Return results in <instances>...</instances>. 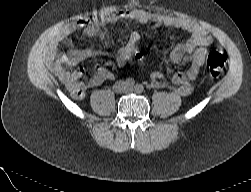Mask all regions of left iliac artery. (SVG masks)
I'll list each match as a JSON object with an SVG mask.
<instances>
[{"mask_svg": "<svg viewBox=\"0 0 251 192\" xmlns=\"http://www.w3.org/2000/svg\"><path fill=\"white\" fill-rule=\"evenodd\" d=\"M143 89H144L143 85H141V84H136L135 90H136L137 92H142Z\"/></svg>", "mask_w": 251, "mask_h": 192, "instance_id": "1", "label": "left iliac artery"}]
</instances>
